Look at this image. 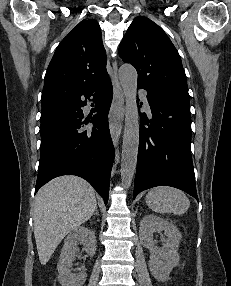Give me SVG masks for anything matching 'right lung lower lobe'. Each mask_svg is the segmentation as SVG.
<instances>
[{"label":"right lung lower lobe","instance_id":"right-lung-lower-lobe-1","mask_svg":"<svg viewBox=\"0 0 231 286\" xmlns=\"http://www.w3.org/2000/svg\"><path fill=\"white\" fill-rule=\"evenodd\" d=\"M92 95L96 114L91 122L95 127L84 131L82 107L86 105L84 98ZM112 97L113 88L108 79L64 104L66 113L41 122V157L35 192L51 179L71 174L87 180L107 204L114 160L107 122Z\"/></svg>","mask_w":231,"mask_h":286}]
</instances>
